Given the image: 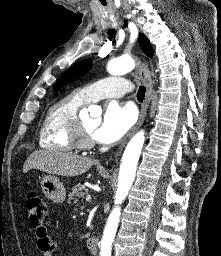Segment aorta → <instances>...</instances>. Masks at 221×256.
Segmentation results:
<instances>
[{"label": "aorta", "mask_w": 221, "mask_h": 256, "mask_svg": "<svg viewBox=\"0 0 221 256\" xmlns=\"http://www.w3.org/2000/svg\"><path fill=\"white\" fill-rule=\"evenodd\" d=\"M135 67L134 60L130 57H120L117 59L111 60L107 65V71L111 75H123L132 71ZM93 106L89 107V111L94 110ZM145 141V132L143 130L136 133L129 143L123 153L117 190L114 197V208L112 209L101 241V256H110L111 255V246L113 239L115 237L119 218L121 215L120 205L128 195L129 189L131 188L136 174V168L138 160L140 157L141 150Z\"/></svg>", "instance_id": "1"}]
</instances>
